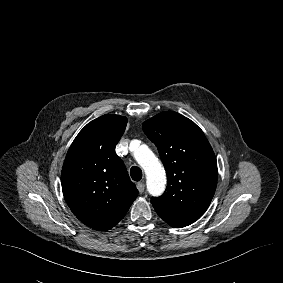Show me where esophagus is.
I'll return each mask as SVG.
<instances>
[{
	"instance_id": "obj_1",
	"label": "esophagus",
	"mask_w": 283,
	"mask_h": 283,
	"mask_svg": "<svg viewBox=\"0 0 283 283\" xmlns=\"http://www.w3.org/2000/svg\"><path fill=\"white\" fill-rule=\"evenodd\" d=\"M137 189H138V191H139V193H143L144 192V190H145V185H144V183L143 182H138L137 183Z\"/></svg>"
}]
</instances>
